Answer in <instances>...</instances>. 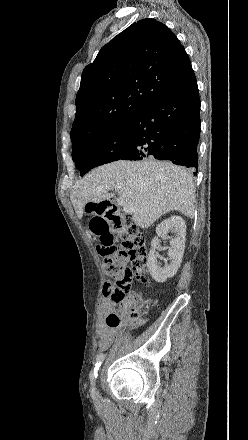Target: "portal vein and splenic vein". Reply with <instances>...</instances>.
I'll list each match as a JSON object with an SVG mask.
<instances>
[{
    "mask_svg": "<svg viewBox=\"0 0 248 440\" xmlns=\"http://www.w3.org/2000/svg\"><path fill=\"white\" fill-rule=\"evenodd\" d=\"M101 191H106L104 189H101ZM118 204L123 208V211L126 213H133L135 209L132 207V205L125 201L122 197L118 198Z\"/></svg>",
    "mask_w": 248,
    "mask_h": 440,
    "instance_id": "obj_1",
    "label": "portal vein and splenic vein"
}]
</instances>
